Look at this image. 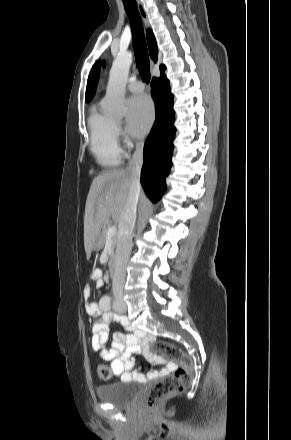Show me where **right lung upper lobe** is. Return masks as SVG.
Masks as SVG:
<instances>
[{
  "mask_svg": "<svg viewBox=\"0 0 291 440\" xmlns=\"http://www.w3.org/2000/svg\"><path fill=\"white\" fill-rule=\"evenodd\" d=\"M147 41L149 46V51L151 58L156 62L158 57V49L155 37L150 29L147 30ZM99 62L95 63L90 75L88 77L87 88H86V101H90L95 92L97 81L99 78ZM166 69L164 65H160V72H163Z\"/></svg>",
  "mask_w": 291,
  "mask_h": 440,
  "instance_id": "right-lung-upper-lobe-1",
  "label": "right lung upper lobe"
}]
</instances>
